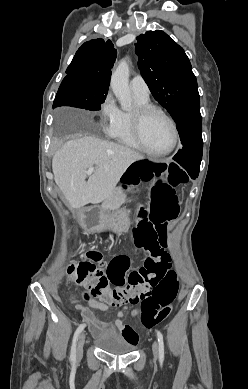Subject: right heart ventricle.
<instances>
[{
	"label": "right heart ventricle",
	"mask_w": 248,
	"mask_h": 389,
	"mask_svg": "<svg viewBox=\"0 0 248 389\" xmlns=\"http://www.w3.org/2000/svg\"><path fill=\"white\" fill-rule=\"evenodd\" d=\"M136 100L138 106L150 104L149 99L136 97ZM131 114V112L121 111L118 124L111 137L125 146L136 150H142L133 135Z\"/></svg>",
	"instance_id": "e07e8e85"
}]
</instances>
